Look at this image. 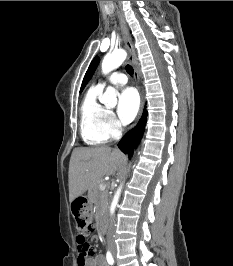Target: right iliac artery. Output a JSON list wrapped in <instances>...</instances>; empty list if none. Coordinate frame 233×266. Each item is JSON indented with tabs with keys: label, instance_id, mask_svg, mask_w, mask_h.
I'll use <instances>...</instances> for the list:
<instances>
[{
	"label": "right iliac artery",
	"instance_id": "1",
	"mask_svg": "<svg viewBox=\"0 0 233 266\" xmlns=\"http://www.w3.org/2000/svg\"><path fill=\"white\" fill-rule=\"evenodd\" d=\"M106 259H107V262H108L110 265H113V264H114V259H113L112 254L110 253V251L107 252V254H106Z\"/></svg>",
	"mask_w": 233,
	"mask_h": 266
}]
</instances>
